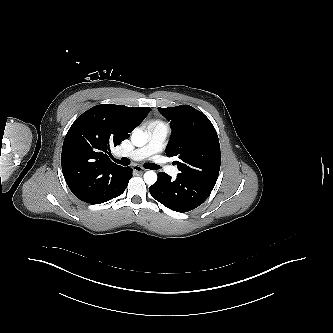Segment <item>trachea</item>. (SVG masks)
<instances>
[{
	"mask_svg": "<svg viewBox=\"0 0 333 333\" xmlns=\"http://www.w3.org/2000/svg\"><path fill=\"white\" fill-rule=\"evenodd\" d=\"M112 160H113L114 162L118 163V164L123 165V166H128V165L130 164V160H129L128 158H126V157H123L121 160L112 157ZM144 167H145L146 169H150V170H158V169L160 168L159 165H156V164H154V163H146V164L144 165Z\"/></svg>",
	"mask_w": 333,
	"mask_h": 333,
	"instance_id": "trachea-1",
	"label": "trachea"
}]
</instances>
